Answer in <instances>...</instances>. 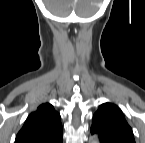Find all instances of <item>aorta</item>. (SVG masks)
<instances>
[{
    "label": "aorta",
    "instance_id": "762f6f07",
    "mask_svg": "<svg viewBox=\"0 0 145 143\" xmlns=\"http://www.w3.org/2000/svg\"><path fill=\"white\" fill-rule=\"evenodd\" d=\"M92 142H93V143H96V142H97V139H96V138H94V139L92 140Z\"/></svg>",
    "mask_w": 145,
    "mask_h": 143
}]
</instances>
